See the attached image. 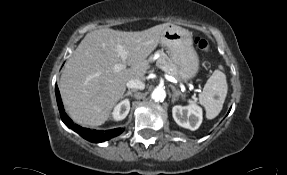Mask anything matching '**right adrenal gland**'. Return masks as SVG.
<instances>
[{"mask_svg": "<svg viewBox=\"0 0 287 175\" xmlns=\"http://www.w3.org/2000/svg\"><path fill=\"white\" fill-rule=\"evenodd\" d=\"M136 90H128L124 96H131L132 97V93L135 92Z\"/></svg>", "mask_w": 287, "mask_h": 175, "instance_id": "right-adrenal-gland-1", "label": "right adrenal gland"}]
</instances>
